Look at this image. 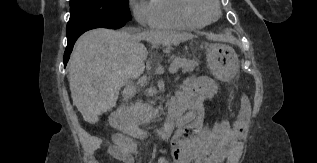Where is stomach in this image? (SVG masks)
<instances>
[{"mask_svg":"<svg viewBox=\"0 0 317 163\" xmlns=\"http://www.w3.org/2000/svg\"><path fill=\"white\" fill-rule=\"evenodd\" d=\"M206 50L208 65L215 77L228 80L236 74L239 60L233 48L224 44H210Z\"/></svg>","mask_w":317,"mask_h":163,"instance_id":"obj_1","label":"stomach"}]
</instances>
